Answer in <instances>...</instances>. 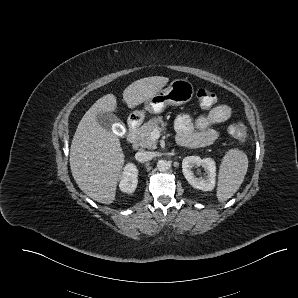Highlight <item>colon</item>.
I'll return each instance as SVG.
<instances>
[{
    "instance_id": "5ec220e1",
    "label": "colon",
    "mask_w": 298,
    "mask_h": 298,
    "mask_svg": "<svg viewBox=\"0 0 298 298\" xmlns=\"http://www.w3.org/2000/svg\"><path fill=\"white\" fill-rule=\"evenodd\" d=\"M197 99L199 104L208 108L211 107L217 100L215 93L206 88H201L197 91ZM229 134L239 142H246L249 139L248 127L243 121H236L228 127Z\"/></svg>"
}]
</instances>
